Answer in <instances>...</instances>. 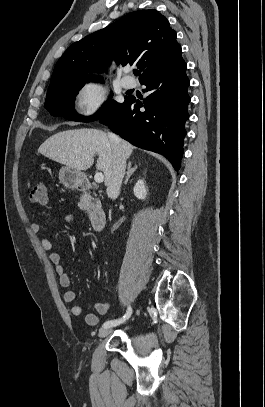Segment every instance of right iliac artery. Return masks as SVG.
Instances as JSON below:
<instances>
[{
	"mask_svg": "<svg viewBox=\"0 0 265 407\" xmlns=\"http://www.w3.org/2000/svg\"><path fill=\"white\" fill-rule=\"evenodd\" d=\"M131 313H132L131 307H128L127 313H126L122 318L116 319V320H109V321H106V322L103 324L102 327H104V328H110V327L116 326V325H118V324H121V323L125 322V321L130 317Z\"/></svg>",
	"mask_w": 265,
	"mask_h": 407,
	"instance_id": "right-iliac-artery-1",
	"label": "right iliac artery"
}]
</instances>
